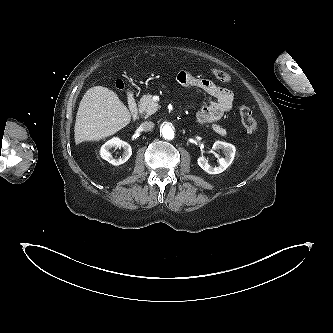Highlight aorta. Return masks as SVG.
<instances>
[{"label":"aorta","mask_w":333,"mask_h":333,"mask_svg":"<svg viewBox=\"0 0 333 333\" xmlns=\"http://www.w3.org/2000/svg\"><path fill=\"white\" fill-rule=\"evenodd\" d=\"M161 132L164 138L173 139L174 138V129L170 124H163Z\"/></svg>","instance_id":"obj_1"}]
</instances>
